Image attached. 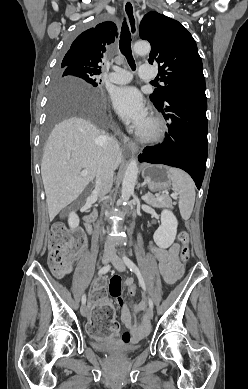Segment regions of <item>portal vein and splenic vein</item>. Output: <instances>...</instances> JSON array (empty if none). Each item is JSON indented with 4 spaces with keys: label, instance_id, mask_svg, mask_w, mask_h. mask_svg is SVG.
I'll return each instance as SVG.
<instances>
[{
    "label": "portal vein and splenic vein",
    "instance_id": "obj_1",
    "mask_svg": "<svg viewBox=\"0 0 248 389\" xmlns=\"http://www.w3.org/2000/svg\"><path fill=\"white\" fill-rule=\"evenodd\" d=\"M82 176H86L87 175V171L86 170H82L81 171V173H80ZM171 196L173 197V198H176V194H171ZM145 200H147V198L148 197H143ZM163 198V195H159L158 197H157V199H162Z\"/></svg>",
    "mask_w": 248,
    "mask_h": 389
}]
</instances>
